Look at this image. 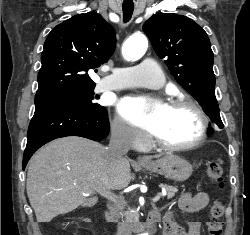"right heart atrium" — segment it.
Masks as SVG:
<instances>
[{"label":"right heart atrium","instance_id":"d8ad5b80","mask_svg":"<svg viewBox=\"0 0 250 235\" xmlns=\"http://www.w3.org/2000/svg\"><path fill=\"white\" fill-rule=\"evenodd\" d=\"M110 130L117 142L129 148H140L148 143V137L143 132L130 125L118 115L112 119Z\"/></svg>","mask_w":250,"mask_h":235}]
</instances>
